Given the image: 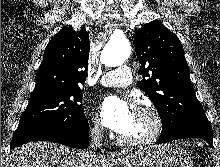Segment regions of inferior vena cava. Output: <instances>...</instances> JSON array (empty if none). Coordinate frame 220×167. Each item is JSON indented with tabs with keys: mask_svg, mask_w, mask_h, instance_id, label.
Here are the masks:
<instances>
[{
	"mask_svg": "<svg viewBox=\"0 0 220 167\" xmlns=\"http://www.w3.org/2000/svg\"><path fill=\"white\" fill-rule=\"evenodd\" d=\"M103 126L99 123L95 124V127L90 130V145L92 149L82 150L79 152V167H93V164L97 160L96 154L93 152L102 146Z\"/></svg>",
	"mask_w": 220,
	"mask_h": 167,
	"instance_id": "602c4592",
	"label": "inferior vena cava"
}]
</instances>
